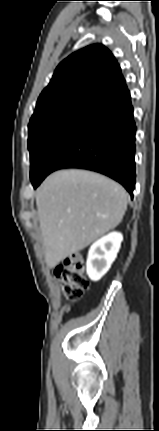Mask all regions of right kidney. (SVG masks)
<instances>
[{"label":"right kidney","mask_w":159,"mask_h":431,"mask_svg":"<svg viewBox=\"0 0 159 431\" xmlns=\"http://www.w3.org/2000/svg\"><path fill=\"white\" fill-rule=\"evenodd\" d=\"M123 236L112 232L97 240L89 249L87 274L92 281L100 280L117 257Z\"/></svg>","instance_id":"right-kidney-1"}]
</instances>
